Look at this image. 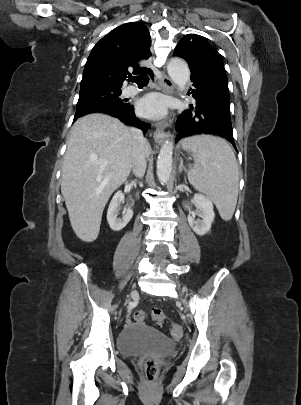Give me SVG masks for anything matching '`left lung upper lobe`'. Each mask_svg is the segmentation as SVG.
<instances>
[{"label":"left lung upper lobe","instance_id":"5c2ea615","mask_svg":"<svg viewBox=\"0 0 301 405\" xmlns=\"http://www.w3.org/2000/svg\"><path fill=\"white\" fill-rule=\"evenodd\" d=\"M173 55L187 61L191 70V80L198 79L216 95L229 100L227 76L222 59L201 36L185 35L176 46Z\"/></svg>","mask_w":301,"mask_h":405}]
</instances>
